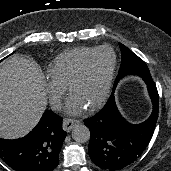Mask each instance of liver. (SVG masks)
Masks as SVG:
<instances>
[{
	"instance_id": "obj_1",
	"label": "liver",
	"mask_w": 171,
	"mask_h": 171,
	"mask_svg": "<svg viewBox=\"0 0 171 171\" xmlns=\"http://www.w3.org/2000/svg\"><path fill=\"white\" fill-rule=\"evenodd\" d=\"M47 106L46 82L38 64L20 55L0 67V138L28 134Z\"/></svg>"
}]
</instances>
